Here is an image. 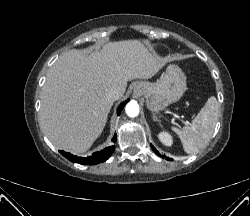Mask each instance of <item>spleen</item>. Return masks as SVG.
<instances>
[{
  "instance_id": "spleen-1",
  "label": "spleen",
  "mask_w": 250,
  "mask_h": 216,
  "mask_svg": "<svg viewBox=\"0 0 250 216\" xmlns=\"http://www.w3.org/2000/svg\"><path fill=\"white\" fill-rule=\"evenodd\" d=\"M218 107L216 98L212 96L191 124L182 129L172 127L179 136L186 153H197L209 143L218 119Z\"/></svg>"
}]
</instances>
